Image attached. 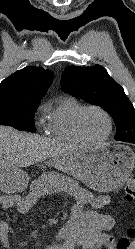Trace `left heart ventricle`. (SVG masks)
Segmentation results:
<instances>
[{"mask_svg": "<svg viewBox=\"0 0 135 249\" xmlns=\"http://www.w3.org/2000/svg\"><path fill=\"white\" fill-rule=\"evenodd\" d=\"M82 127L85 135L93 140L103 138L108 131L106 118L96 110H89L82 118Z\"/></svg>", "mask_w": 135, "mask_h": 249, "instance_id": "obj_1", "label": "left heart ventricle"}]
</instances>
